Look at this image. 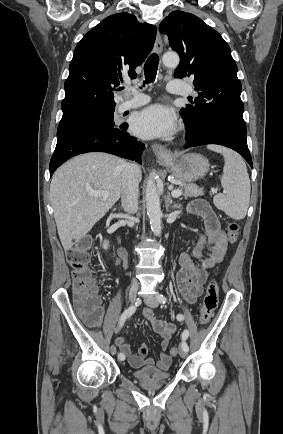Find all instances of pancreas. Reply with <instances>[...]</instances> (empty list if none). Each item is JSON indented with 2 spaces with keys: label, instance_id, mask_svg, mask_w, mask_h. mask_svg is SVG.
I'll use <instances>...</instances> for the list:
<instances>
[{
  "label": "pancreas",
  "instance_id": "1",
  "mask_svg": "<svg viewBox=\"0 0 283 434\" xmlns=\"http://www.w3.org/2000/svg\"><path fill=\"white\" fill-rule=\"evenodd\" d=\"M179 189L182 191V194L186 199L188 197H198L204 194V190L202 188H199L195 184L191 183L188 184L183 182L179 185Z\"/></svg>",
  "mask_w": 283,
  "mask_h": 434
}]
</instances>
